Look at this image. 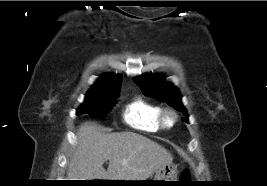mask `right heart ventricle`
Returning a JSON list of instances; mask_svg holds the SVG:
<instances>
[{
    "instance_id": "1",
    "label": "right heart ventricle",
    "mask_w": 267,
    "mask_h": 186,
    "mask_svg": "<svg viewBox=\"0 0 267 186\" xmlns=\"http://www.w3.org/2000/svg\"><path fill=\"white\" fill-rule=\"evenodd\" d=\"M161 107L143 98L131 101L123 112V119L130 127L147 133L161 130L159 114Z\"/></svg>"
}]
</instances>
